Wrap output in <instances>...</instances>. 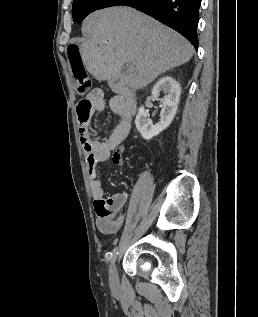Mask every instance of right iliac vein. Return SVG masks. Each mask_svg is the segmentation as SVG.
I'll return each mask as SVG.
<instances>
[{
	"instance_id": "right-iliac-vein-1",
	"label": "right iliac vein",
	"mask_w": 258,
	"mask_h": 317,
	"mask_svg": "<svg viewBox=\"0 0 258 317\" xmlns=\"http://www.w3.org/2000/svg\"><path fill=\"white\" fill-rule=\"evenodd\" d=\"M117 266H116V262L113 260L110 264H109V276L110 277H115L116 276V271H117Z\"/></svg>"
}]
</instances>
